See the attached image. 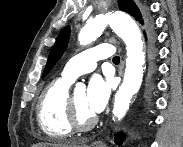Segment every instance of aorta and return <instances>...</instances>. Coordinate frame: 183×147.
I'll return each mask as SVG.
<instances>
[{
    "instance_id": "aorta-1",
    "label": "aorta",
    "mask_w": 183,
    "mask_h": 147,
    "mask_svg": "<svg viewBox=\"0 0 183 147\" xmlns=\"http://www.w3.org/2000/svg\"><path fill=\"white\" fill-rule=\"evenodd\" d=\"M107 26H110L123 39L127 50L124 79L115 94L113 107L114 118L121 120L129 109L132 97L141 86L145 53L138 25L130 16L122 12L99 14L89 20L78 34L79 43L87 45L95 41ZM84 88V84H76V89Z\"/></svg>"
}]
</instances>
